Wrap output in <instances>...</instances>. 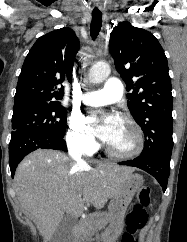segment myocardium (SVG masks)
Masks as SVG:
<instances>
[{"label":"myocardium","mask_w":187,"mask_h":242,"mask_svg":"<svg viewBox=\"0 0 187 242\" xmlns=\"http://www.w3.org/2000/svg\"><path fill=\"white\" fill-rule=\"evenodd\" d=\"M118 119L124 121L125 123L129 124L136 135V146L130 150V151H118L113 148H111L108 144L106 145L105 149L106 152L117 158H132L140 155L144 149L145 146V136L144 132L141 128V126L138 124V122L131 117L130 115L127 114H121L119 115Z\"/></svg>","instance_id":"obj_1"}]
</instances>
